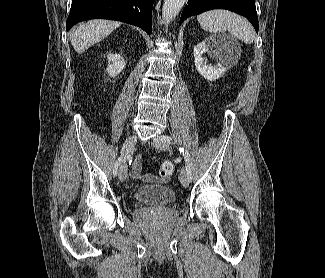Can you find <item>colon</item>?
Instances as JSON below:
<instances>
[{"instance_id": "obj_1", "label": "colon", "mask_w": 325, "mask_h": 278, "mask_svg": "<svg viewBox=\"0 0 325 278\" xmlns=\"http://www.w3.org/2000/svg\"><path fill=\"white\" fill-rule=\"evenodd\" d=\"M174 172V165L170 161L164 162L159 169V176L162 180L168 179L172 176ZM145 180L152 181L154 178L152 176H145Z\"/></svg>"}]
</instances>
